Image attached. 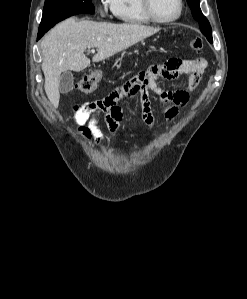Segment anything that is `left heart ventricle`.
I'll use <instances>...</instances> for the list:
<instances>
[{"label": "left heart ventricle", "instance_id": "obj_1", "mask_svg": "<svg viewBox=\"0 0 247 299\" xmlns=\"http://www.w3.org/2000/svg\"><path fill=\"white\" fill-rule=\"evenodd\" d=\"M152 8L161 19L172 18L178 10L177 0H152Z\"/></svg>", "mask_w": 247, "mask_h": 299}]
</instances>
